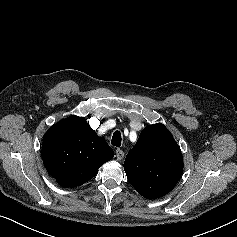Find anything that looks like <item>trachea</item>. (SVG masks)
<instances>
[{
	"mask_svg": "<svg viewBox=\"0 0 237 237\" xmlns=\"http://www.w3.org/2000/svg\"><path fill=\"white\" fill-rule=\"evenodd\" d=\"M121 133L120 131H115L113 136H112V140H111V144L116 146V147H120L121 146Z\"/></svg>",
	"mask_w": 237,
	"mask_h": 237,
	"instance_id": "trachea-1",
	"label": "trachea"
}]
</instances>
